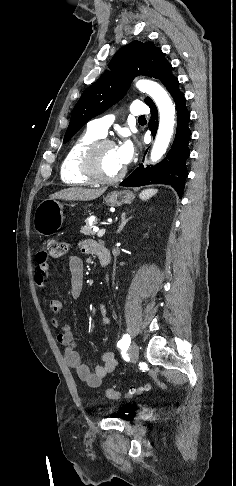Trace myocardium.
Instances as JSON below:
<instances>
[{"mask_svg": "<svg viewBox=\"0 0 236 486\" xmlns=\"http://www.w3.org/2000/svg\"><path fill=\"white\" fill-rule=\"evenodd\" d=\"M106 146H115V143L106 138H99L91 142L81 155L80 170L92 183L113 184L120 181L126 174L125 167L120 173L113 177H105L100 173L98 168V154L99 151Z\"/></svg>", "mask_w": 236, "mask_h": 486, "instance_id": "f54148a6", "label": "myocardium"}]
</instances>
